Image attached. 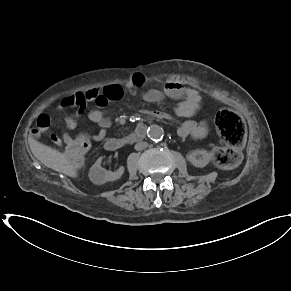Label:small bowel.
<instances>
[{
    "label": "small bowel",
    "mask_w": 291,
    "mask_h": 291,
    "mask_svg": "<svg viewBox=\"0 0 291 291\" xmlns=\"http://www.w3.org/2000/svg\"><path fill=\"white\" fill-rule=\"evenodd\" d=\"M146 82L147 78L142 72H135L125 83H109L101 87L94 86L77 92L74 95L76 111L73 118L67 119L68 127L73 128L75 126V118L83 114L88 103H95L98 108L91 110L88 113V118L99 126V130L97 133L90 136V140H104L111 122L105 116L103 108L109 102L121 99L125 92L136 93V91ZM165 96L173 99L183 98L175 109L176 115L185 119L178 129L179 136L202 138L207 134L208 124L206 121L196 122L191 119L201 103V97L198 91L185 87L179 82L170 81L165 84L164 90L156 88L147 90L144 93L143 98L149 103H159L165 98ZM58 108L64 107H61L58 104ZM139 115L148 120L168 121L170 119V114L168 112L151 111L147 108H141L139 110ZM50 124V117L46 113L41 114L37 119L36 128L32 130L33 138H39L42 133L49 129ZM72 138L73 137H71L67 132L62 134V140L67 145ZM53 141L57 145L62 144V141L57 137H55Z\"/></svg>",
    "instance_id": "obj_1"
}]
</instances>
